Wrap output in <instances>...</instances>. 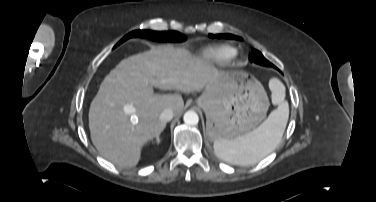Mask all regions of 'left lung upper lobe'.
I'll list each match as a JSON object with an SVG mask.
<instances>
[{"instance_id": "5c2ea615", "label": "left lung upper lobe", "mask_w": 376, "mask_h": 202, "mask_svg": "<svg viewBox=\"0 0 376 202\" xmlns=\"http://www.w3.org/2000/svg\"><path fill=\"white\" fill-rule=\"evenodd\" d=\"M210 38H225V39H235V40H241V37L232 35V34H209ZM251 61H254L257 64L263 65V66H271L275 67L272 63H270L268 60L264 58V56L259 52L258 50L253 49L252 51V58L250 59Z\"/></svg>"}]
</instances>
